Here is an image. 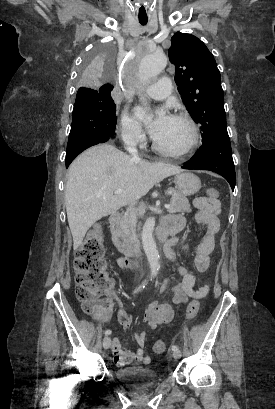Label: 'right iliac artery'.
Returning <instances> with one entry per match:
<instances>
[{
  "mask_svg": "<svg viewBox=\"0 0 275 409\" xmlns=\"http://www.w3.org/2000/svg\"><path fill=\"white\" fill-rule=\"evenodd\" d=\"M145 285H146V281H144V282L138 287V289H137L135 292H137V291H139L140 289L144 288ZM110 334H111V330H106V331H105V335H110Z\"/></svg>",
  "mask_w": 275,
  "mask_h": 409,
  "instance_id": "obj_1",
  "label": "right iliac artery"
}]
</instances>
